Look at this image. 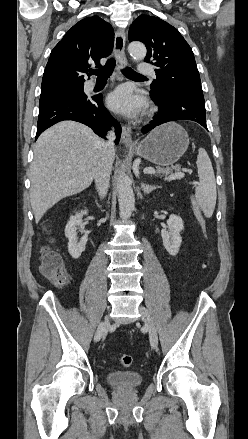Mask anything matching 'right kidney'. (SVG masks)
I'll list each match as a JSON object with an SVG mask.
<instances>
[{"instance_id": "1", "label": "right kidney", "mask_w": 248, "mask_h": 439, "mask_svg": "<svg viewBox=\"0 0 248 439\" xmlns=\"http://www.w3.org/2000/svg\"><path fill=\"white\" fill-rule=\"evenodd\" d=\"M87 213V209L76 212L75 215L70 216L65 227V236L68 238V251L74 259H78L81 256L82 252L85 250L86 242L88 241V235L84 231L82 220L83 215ZM77 229H79L81 233H84L79 242L77 241Z\"/></svg>"}]
</instances>
